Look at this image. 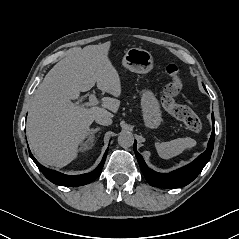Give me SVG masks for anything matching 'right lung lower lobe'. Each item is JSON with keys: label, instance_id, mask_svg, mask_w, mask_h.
<instances>
[{"label": "right lung lower lobe", "instance_id": "right-lung-lower-lobe-1", "mask_svg": "<svg viewBox=\"0 0 239 239\" xmlns=\"http://www.w3.org/2000/svg\"><path fill=\"white\" fill-rule=\"evenodd\" d=\"M107 151L108 150H106L102 161L100 162V164L94 171H92L90 173L82 174V175H76V176L65 175V174L59 173L57 171L45 168L44 166L39 164V162H37V160L31 154L30 150H29V155L32 158V160L35 162V164L37 165L39 170L52 183L57 184V185H62V186L76 187V186H82V185L88 184V183L92 182L93 180H95L99 176V174L101 173V170L103 168V165L105 163Z\"/></svg>", "mask_w": 239, "mask_h": 239}]
</instances>
